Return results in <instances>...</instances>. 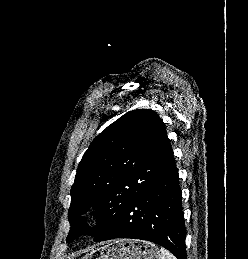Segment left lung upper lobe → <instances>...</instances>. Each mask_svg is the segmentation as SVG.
<instances>
[{
    "instance_id": "obj_1",
    "label": "left lung upper lobe",
    "mask_w": 248,
    "mask_h": 259,
    "mask_svg": "<svg viewBox=\"0 0 248 259\" xmlns=\"http://www.w3.org/2000/svg\"><path fill=\"white\" fill-rule=\"evenodd\" d=\"M174 162L166 129L152 110L124 114L91 143L79 163L71 188L67 242L80 235L95 237L147 191ZM95 211L98 225L88 229Z\"/></svg>"
}]
</instances>
